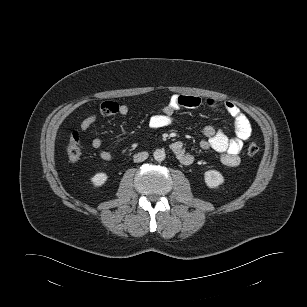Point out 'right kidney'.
Wrapping results in <instances>:
<instances>
[{"label": "right kidney", "instance_id": "1", "mask_svg": "<svg viewBox=\"0 0 307 307\" xmlns=\"http://www.w3.org/2000/svg\"><path fill=\"white\" fill-rule=\"evenodd\" d=\"M107 179L108 176L106 175V173L99 172L91 178V182L94 186L99 187L102 186L107 181Z\"/></svg>", "mask_w": 307, "mask_h": 307}]
</instances>
